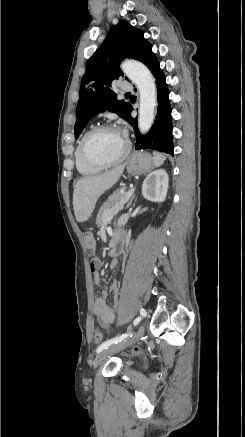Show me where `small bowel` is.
<instances>
[{"mask_svg":"<svg viewBox=\"0 0 245 437\" xmlns=\"http://www.w3.org/2000/svg\"><path fill=\"white\" fill-rule=\"evenodd\" d=\"M100 261L95 258L91 263V272L94 277L95 284L100 282ZM109 291L114 294L113 305H109L107 302L108 291L104 290L100 297L94 302V314L98 321L103 326H109L115 321L116 311L118 310L119 302L117 298L118 283L115 281L111 284Z\"/></svg>","mask_w":245,"mask_h":437,"instance_id":"c3829d8e","label":"small bowel"}]
</instances>
